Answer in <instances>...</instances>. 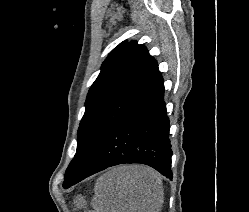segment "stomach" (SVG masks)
<instances>
[{
	"label": "stomach",
	"mask_w": 249,
	"mask_h": 212,
	"mask_svg": "<svg viewBox=\"0 0 249 212\" xmlns=\"http://www.w3.org/2000/svg\"><path fill=\"white\" fill-rule=\"evenodd\" d=\"M74 204H76L78 208H83V206H86L87 202L85 196H77Z\"/></svg>",
	"instance_id": "stomach-1"
}]
</instances>
